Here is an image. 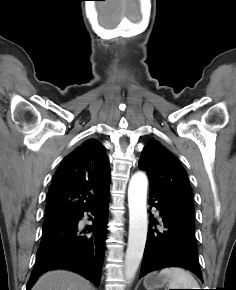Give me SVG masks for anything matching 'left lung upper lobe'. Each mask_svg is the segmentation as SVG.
<instances>
[{
    "label": "left lung upper lobe",
    "mask_w": 236,
    "mask_h": 290,
    "mask_svg": "<svg viewBox=\"0 0 236 290\" xmlns=\"http://www.w3.org/2000/svg\"><path fill=\"white\" fill-rule=\"evenodd\" d=\"M139 168L147 172L150 191L172 200L193 218L194 204L187 173L168 149L151 140L142 151Z\"/></svg>",
    "instance_id": "obj_1"
}]
</instances>
